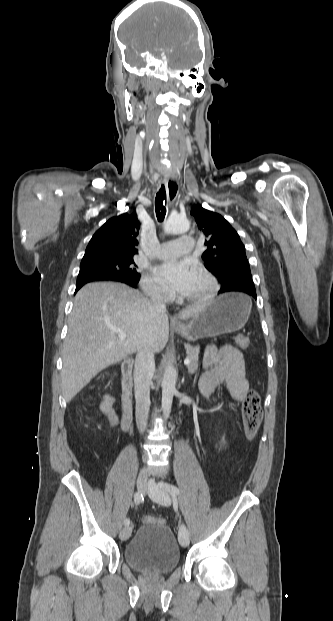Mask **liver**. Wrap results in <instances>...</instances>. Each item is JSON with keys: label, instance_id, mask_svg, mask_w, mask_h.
<instances>
[{"label": "liver", "instance_id": "obj_1", "mask_svg": "<svg viewBox=\"0 0 333 621\" xmlns=\"http://www.w3.org/2000/svg\"><path fill=\"white\" fill-rule=\"evenodd\" d=\"M207 303L192 304L178 317L189 319ZM112 327L124 331L126 338L120 340ZM168 338V314L156 310L138 290L110 282L85 285L74 298L63 346L64 399L70 402L101 370L144 347L161 352Z\"/></svg>", "mask_w": 333, "mask_h": 621}]
</instances>
